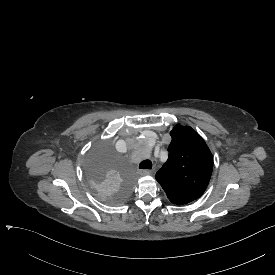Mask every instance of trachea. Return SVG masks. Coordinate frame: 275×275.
<instances>
[{
	"mask_svg": "<svg viewBox=\"0 0 275 275\" xmlns=\"http://www.w3.org/2000/svg\"><path fill=\"white\" fill-rule=\"evenodd\" d=\"M140 169H151L152 168V162L149 159L143 160L139 164Z\"/></svg>",
	"mask_w": 275,
	"mask_h": 275,
	"instance_id": "1",
	"label": "trachea"
}]
</instances>
